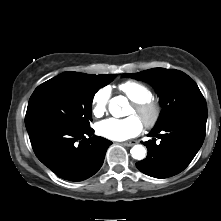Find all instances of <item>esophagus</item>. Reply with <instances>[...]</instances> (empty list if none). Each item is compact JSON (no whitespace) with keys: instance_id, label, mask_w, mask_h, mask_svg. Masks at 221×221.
Listing matches in <instances>:
<instances>
[{"instance_id":"1","label":"esophagus","mask_w":221,"mask_h":221,"mask_svg":"<svg viewBox=\"0 0 221 221\" xmlns=\"http://www.w3.org/2000/svg\"><path fill=\"white\" fill-rule=\"evenodd\" d=\"M134 144H135V143H134V142H131V141L123 142V143H122V145L127 146V147L133 146Z\"/></svg>"}]
</instances>
